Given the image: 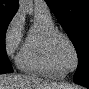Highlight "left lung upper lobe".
Instances as JSON below:
<instances>
[{
  "label": "left lung upper lobe",
  "instance_id": "1",
  "mask_svg": "<svg viewBox=\"0 0 89 89\" xmlns=\"http://www.w3.org/2000/svg\"><path fill=\"white\" fill-rule=\"evenodd\" d=\"M71 39L78 55L74 80L89 78V0H45Z\"/></svg>",
  "mask_w": 89,
  "mask_h": 89
}]
</instances>
